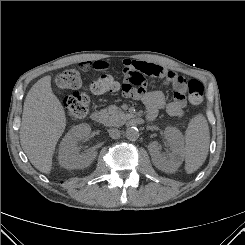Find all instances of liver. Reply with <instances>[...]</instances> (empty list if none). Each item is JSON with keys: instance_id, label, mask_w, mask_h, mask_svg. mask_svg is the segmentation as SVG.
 I'll return each mask as SVG.
<instances>
[{"instance_id": "liver-1", "label": "liver", "mask_w": 245, "mask_h": 245, "mask_svg": "<svg viewBox=\"0 0 245 245\" xmlns=\"http://www.w3.org/2000/svg\"><path fill=\"white\" fill-rule=\"evenodd\" d=\"M66 127L64 108L51 88V76L37 81L23 106L20 143L32 165L49 174L56 144Z\"/></svg>"}]
</instances>
